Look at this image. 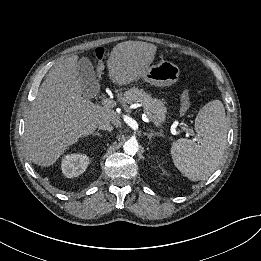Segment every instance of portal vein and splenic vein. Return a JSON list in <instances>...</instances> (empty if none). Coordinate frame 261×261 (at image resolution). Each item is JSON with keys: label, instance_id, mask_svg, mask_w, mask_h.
<instances>
[{"label": "portal vein and splenic vein", "instance_id": "portal-vein-and-splenic-vein-1", "mask_svg": "<svg viewBox=\"0 0 261 261\" xmlns=\"http://www.w3.org/2000/svg\"><path fill=\"white\" fill-rule=\"evenodd\" d=\"M102 105L108 108H113L117 106L116 101L109 99V98H105L102 99L101 101ZM140 107L143 108V113H144V118L143 120L148 122V121H153L155 123L156 126H161L159 121H154L153 116L151 115V113L147 110V108L145 106L139 105ZM175 128L176 125H172L171 126V132L174 133L175 132ZM182 130L186 131L187 134H192L193 131L191 129H188L186 127H181ZM195 140V139H194Z\"/></svg>", "mask_w": 261, "mask_h": 261}]
</instances>
